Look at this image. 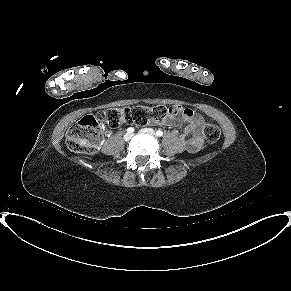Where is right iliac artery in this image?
<instances>
[{
  "label": "right iliac artery",
  "mask_w": 291,
  "mask_h": 291,
  "mask_svg": "<svg viewBox=\"0 0 291 291\" xmlns=\"http://www.w3.org/2000/svg\"><path fill=\"white\" fill-rule=\"evenodd\" d=\"M127 132H128V133H133V132H134V128L129 127V128L127 129Z\"/></svg>",
  "instance_id": "obj_1"
}]
</instances>
